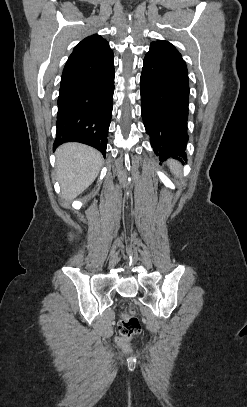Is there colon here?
Wrapping results in <instances>:
<instances>
[{
    "instance_id": "1",
    "label": "colon",
    "mask_w": 247,
    "mask_h": 407,
    "mask_svg": "<svg viewBox=\"0 0 247 407\" xmlns=\"http://www.w3.org/2000/svg\"><path fill=\"white\" fill-rule=\"evenodd\" d=\"M119 335L116 342L124 351L129 350L131 338L141 331V323L131 307H123L120 311L118 323Z\"/></svg>"
}]
</instances>
